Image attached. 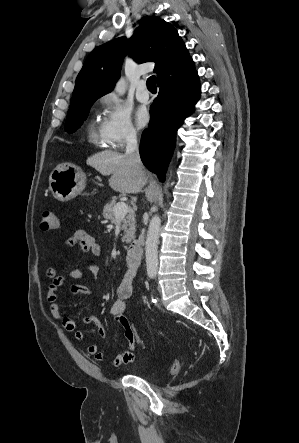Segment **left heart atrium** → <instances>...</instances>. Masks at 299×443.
<instances>
[{
	"label": "left heart atrium",
	"instance_id": "left-heart-atrium-1",
	"mask_svg": "<svg viewBox=\"0 0 299 443\" xmlns=\"http://www.w3.org/2000/svg\"><path fill=\"white\" fill-rule=\"evenodd\" d=\"M150 115L145 107H139L135 112V121L139 127H144L148 124Z\"/></svg>",
	"mask_w": 299,
	"mask_h": 443
}]
</instances>
